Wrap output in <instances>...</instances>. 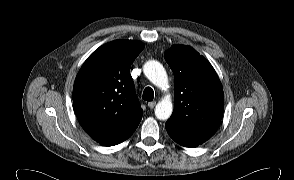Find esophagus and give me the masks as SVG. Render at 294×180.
Here are the masks:
<instances>
[{"mask_svg":"<svg viewBox=\"0 0 294 180\" xmlns=\"http://www.w3.org/2000/svg\"><path fill=\"white\" fill-rule=\"evenodd\" d=\"M155 105H156V102L155 101L148 102V107L150 109H153L155 107Z\"/></svg>","mask_w":294,"mask_h":180,"instance_id":"1","label":"esophagus"}]
</instances>
